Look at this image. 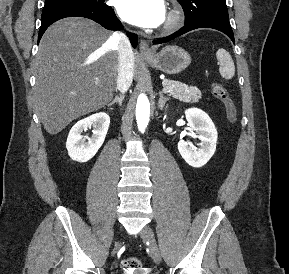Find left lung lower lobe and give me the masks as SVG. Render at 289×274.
<instances>
[{
    "label": "left lung lower lobe",
    "mask_w": 289,
    "mask_h": 274,
    "mask_svg": "<svg viewBox=\"0 0 289 274\" xmlns=\"http://www.w3.org/2000/svg\"><path fill=\"white\" fill-rule=\"evenodd\" d=\"M197 28H213V29L219 30L225 33L233 41V43H235L234 35H233V31H232L229 19L217 18V17L203 18V19L196 20L192 23L185 24L183 28L178 30L171 37L166 38V39L154 40L153 43L161 44L163 42H167L169 40H172L180 35H183Z\"/></svg>",
    "instance_id": "obj_1"
}]
</instances>
